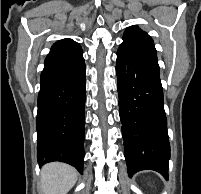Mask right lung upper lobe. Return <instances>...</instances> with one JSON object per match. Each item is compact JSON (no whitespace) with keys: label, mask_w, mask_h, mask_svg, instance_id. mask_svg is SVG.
<instances>
[{"label":"right lung upper lobe","mask_w":201,"mask_h":194,"mask_svg":"<svg viewBox=\"0 0 201 194\" xmlns=\"http://www.w3.org/2000/svg\"><path fill=\"white\" fill-rule=\"evenodd\" d=\"M82 48L72 39H62L51 47L45 59V66L70 64L82 60Z\"/></svg>","instance_id":"1"}]
</instances>
